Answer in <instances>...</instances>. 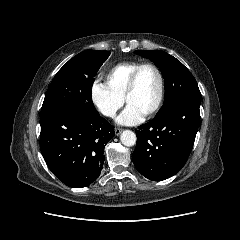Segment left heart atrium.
Listing matches in <instances>:
<instances>
[{
	"instance_id": "1",
	"label": "left heart atrium",
	"mask_w": 240,
	"mask_h": 240,
	"mask_svg": "<svg viewBox=\"0 0 240 240\" xmlns=\"http://www.w3.org/2000/svg\"><path fill=\"white\" fill-rule=\"evenodd\" d=\"M143 119V113L133 105L128 104L127 107L117 118L120 125H136Z\"/></svg>"
}]
</instances>
